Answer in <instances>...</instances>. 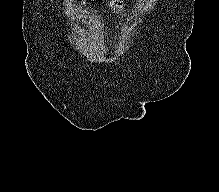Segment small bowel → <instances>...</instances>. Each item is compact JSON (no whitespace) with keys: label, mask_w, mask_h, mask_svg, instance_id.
I'll use <instances>...</instances> for the list:
<instances>
[{"label":"small bowel","mask_w":219,"mask_h":192,"mask_svg":"<svg viewBox=\"0 0 219 192\" xmlns=\"http://www.w3.org/2000/svg\"><path fill=\"white\" fill-rule=\"evenodd\" d=\"M110 7L118 14H123L125 11V0H111Z\"/></svg>","instance_id":"small-bowel-1"}]
</instances>
